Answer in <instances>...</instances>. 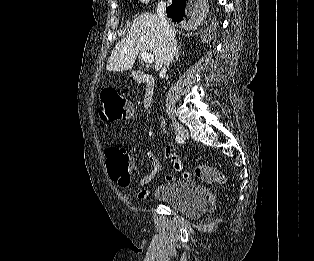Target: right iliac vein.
Listing matches in <instances>:
<instances>
[{"instance_id": "obj_1", "label": "right iliac vein", "mask_w": 314, "mask_h": 261, "mask_svg": "<svg viewBox=\"0 0 314 261\" xmlns=\"http://www.w3.org/2000/svg\"><path fill=\"white\" fill-rule=\"evenodd\" d=\"M173 127L175 129V131L182 137V138H188L189 134L188 131L186 130V128L184 126H182L179 123H174Z\"/></svg>"}]
</instances>
